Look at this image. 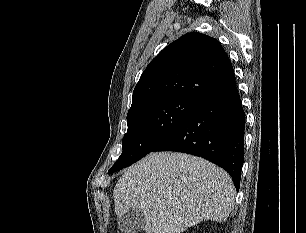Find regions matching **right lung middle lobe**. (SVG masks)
Instances as JSON below:
<instances>
[{"mask_svg": "<svg viewBox=\"0 0 306 233\" xmlns=\"http://www.w3.org/2000/svg\"><path fill=\"white\" fill-rule=\"evenodd\" d=\"M200 106L190 99L173 97L155 100L128 112L123 152L109 173L119 171L153 151Z\"/></svg>", "mask_w": 306, "mask_h": 233, "instance_id": "obj_1", "label": "right lung middle lobe"}]
</instances>
